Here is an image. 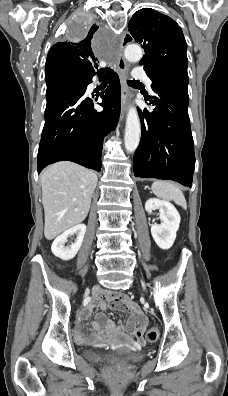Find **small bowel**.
I'll use <instances>...</instances> for the list:
<instances>
[{"instance_id": "small-bowel-1", "label": "small bowel", "mask_w": 228, "mask_h": 396, "mask_svg": "<svg viewBox=\"0 0 228 396\" xmlns=\"http://www.w3.org/2000/svg\"><path fill=\"white\" fill-rule=\"evenodd\" d=\"M113 308L129 313V318L125 324L116 325L114 321L108 319L103 312L96 315L95 321L92 324V330L98 335H108L117 339H127L130 337L136 338L139 342L143 341V334L148 326V319L146 315L138 308L136 304L129 300L124 294L98 293L94 300L85 307L79 315V322L76 325V339L79 342L90 341L94 335H87L83 331L80 323L81 320L86 319L93 308L105 310L106 308Z\"/></svg>"}]
</instances>
